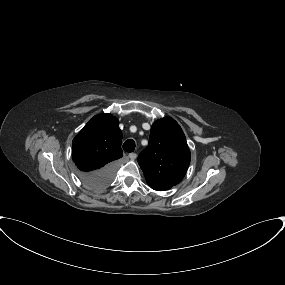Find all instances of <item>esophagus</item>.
Instances as JSON below:
<instances>
[{
	"label": "esophagus",
	"mask_w": 285,
	"mask_h": 285,
	"mask_svg": "<svg viewBox=\"0 0 285 285\" xmlns=\"http://www.w3.org/2000/svg\"><path fill=\"white\" fill-rule=\"evenodd\" d=\"M136 157H137L136 153H130V154H129V158H130L131 160L136 159Z\"/></svg>",
	"instance_id": "obj_1"
}]
</instances>
